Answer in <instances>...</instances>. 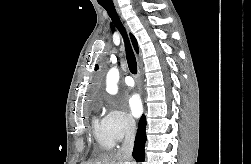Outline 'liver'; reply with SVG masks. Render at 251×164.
Here are the masks:
<instances>
[{
    "label": "liver",
    "mask_w": 251,
    "mask_h": 164,
    "mask_svg": "<svg viewBox=\"0 0 251 164\" xmlns=\"http://www.w3.org/2000/svg\"><path fill=\"white\" fill-rule=\"evenodd\" d=\"M121 155L118 153H105L100 155L94 162L85 164H127ZM131 164H135L132 163Z\"/></svg>",
    "instance_id": "obj_1"
}]
</instances>
